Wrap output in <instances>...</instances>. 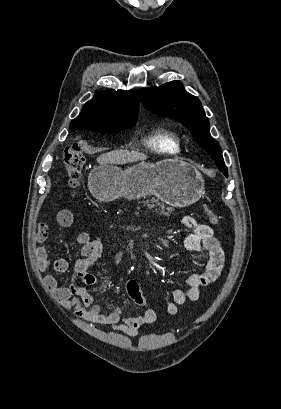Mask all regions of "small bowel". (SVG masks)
Returning a JSON list of instances; mask_svg holds the SVG:
<instances>
[{
	"instance_id": "c3829d8e",
	"label": "small bowel",
	"mask_w": 281,
	"mask_h": 409,
	"mask_svg": "<svg viewBox=\"0 0 281 409\" xmlns=\"http://www.w3.org/2000/svg\"><path fill=\"white\" fill-rule=\"evenodd\" d=\"M57 221L62 228H70L73 224L72 212L68 209L61 210ZM183 223L191 230V233L184 237L183 244L187 250L197 253L198 260L202 264V271L187 275L186 287L173 292L172 301L166 305L169 315H176L179 307L185 303L198 300L200 288L215 282L220 277L225 262L224 250L210 226L190 216H185ZM36 229L38 230L36 240L41 243L46 238L48 224L38 222ZM75 240L81 246V256L75 261L71 284L60 286L56 278L51 275L44 278L47 289L59 300L62 307L74 309L75 314L87 322L110 326L114 331L132 337L138 335L142 327L153 324L157 317V310L149 306L135 280L127 282L126 291L129 297L142 307L143 312L140 315L123 314L121 308L117 306L112 312L103 313L102 306L95 302L94 296L86 287L97 286L99 283L98 278L88 270L101 255L102 239L100 237L91 239L87 232H79ZM35 253L41 270H53L57 273L69 270L70 264L67 260L49 258L46 246H39Z\"/></svg>"
}]
</instances>
